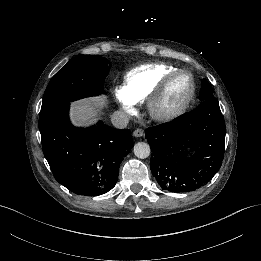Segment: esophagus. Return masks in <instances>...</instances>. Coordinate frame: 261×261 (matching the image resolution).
<instances>
[{"label":"esophagus","instance_id":"34e87169","mask_svg":"<svg viewBox=\"0 0 261 261\" xmlns=\"http://www.w3.org/2000/svg\"><path fill=\"white\" fill-rule=\"evenodd\" d=\"M143 135H144V131L142 129H136L133 132V136H135V137H142Z\"/></svg>","mask_w":261,"mask_h":261}]
</instances>
